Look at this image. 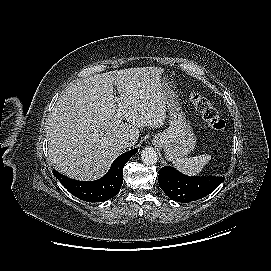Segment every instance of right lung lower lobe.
<instances>
[{
    "instance_id": "1",
    "label": "right lung lower lobe",
    "mask_w": 271,
    "mask_h": 271,
    "mask_svg": "<svg viewBox=\"0 0 271 271\" xmlns=\"http://www.w3.org/2000/svg\"><path fill=\"white\" fill-rule=\"evenodd\" d=\"M137 151L138 149H132L118 156L107 174L96 181H77L56 170H53V174L75 197L87 202H103L111 199L120 191L123 183V167Z\"/></svg>"
}]
</instances>
